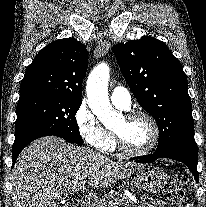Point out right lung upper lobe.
Returning <instances> with one entry per match:
<instances>
[{
  "instance_id": "cb5924a9",
  "label": "right lung upper lobe",
  "mask_w": 206,
  "mask_h": 207,
  "mask_svg": "<svg viewBox=\"0 0 206 207\" xmlns=\"http://www.w3.org/2000/svg\"><path fill=\"white\" fill-rule=\"evenodd\" d=\"M87 66L88 51L81 42L74 38L54 41L28 66L19 100L40 95L81 99Z\"/></svg>"
}]
</instances>
